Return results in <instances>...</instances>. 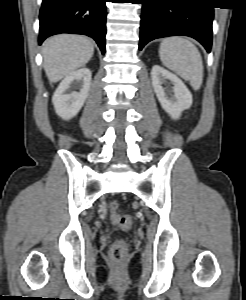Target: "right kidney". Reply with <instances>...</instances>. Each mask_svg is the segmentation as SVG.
<instances>
[{"instance_id":"ca27d5eb","label":"right kidney","mask_w":246,"mask_h":300,"mask_svg":"<svg viewBox=\"0 0 246 300\" xmlns=\"http://www.w3.org/2000/svg\"><path fill=\"white\" fill-rule=\"evenodd\" d=\"M91 76L90 69L81 68L71 72L61 81L52 97L55 112L58 116L69 120L78 114L88 97ZM71 85L80 87V91H73L70 94H66V90Z\"/></svg>"}]
</instances>
